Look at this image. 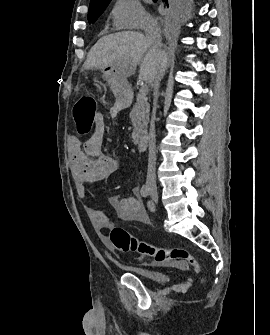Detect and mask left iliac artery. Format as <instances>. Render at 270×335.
I'll return each instance as SVG.
<instances>
[{
    "mask_svg": "<svg viewBox=\"0 0 270 335\" xmlns=\"http://www.w3.org/2000/svg\"><path fill=\"white\" fill-rule=\"evenodd\" d=\"M148 207L150 210H153V203L151 201L148 202Z\"/></svg>",
    "mask_w": 270,
    "mask_h": 335,
    "instance_id": "left-iliac-artery-1",
    "label": "left iliac artery"
}]
</instances>
